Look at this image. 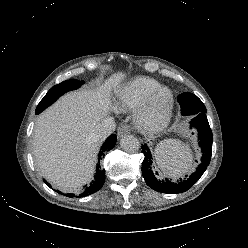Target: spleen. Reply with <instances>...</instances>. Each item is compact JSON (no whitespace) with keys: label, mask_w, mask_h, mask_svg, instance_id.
Here are the masks:
<instances>
[{"label":"spleen","mask_w":248,"mask_h":248,"mask_svg":"<svg viewBox=\"0 0 248 248\" xmlns=\"http://www.w3.org/2000/svg\"><path fill=\"white\" fill-rule=\"evenodd\" d=\"M155 159L164 174L176 179L191 169L193 156L188 145L180 140L168 139L157 145Z\"/></svg>","instance_id":"1"}]
</instances>
